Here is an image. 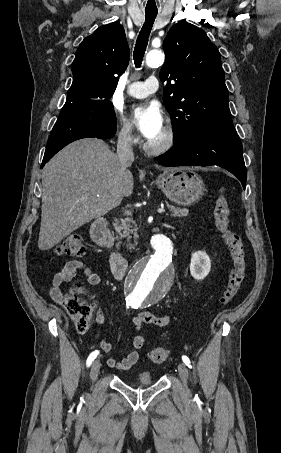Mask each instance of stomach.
<instances>
[{"label":"stomach","instance_id":"obj_1","mask_svg":"<svg viewBox=\"0 0 281 453\" xmlns=\"http://www.w3.org/2000/svg\"><path fill=\"white\" fill-rule=\"evenodd\" d=\"M158 182L161 190L176 204L190 206L200 200L204 182L190 166H173L159 174Z\"/></svg>","mask_w":281,"mask_h":453}]
</instances>
